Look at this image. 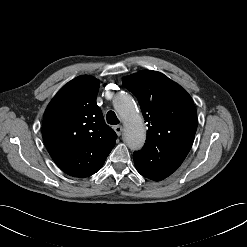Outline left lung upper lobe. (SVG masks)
I'll return each instance as SVG.
<instances>
[{
    "label": "left lung upper lobe",
    "instance_id": "5c2ea615",
    "mask_svg": "<svg viewBox=\"0 0 247 247\" xmlns=\"http://www.w3.org/2000/svg\"><path fill=\"white\" fill-rule=\"evenodd\" d=\"M123 85L138 99L147 139L137 157L171 158L183 161L197 129V111L191 96L164 74L143 70L123 79Z\"/></svg>",
    "mask_w": 247,
    "mask_h": 247
}]
</instances>
